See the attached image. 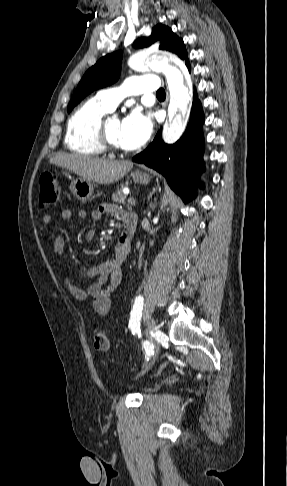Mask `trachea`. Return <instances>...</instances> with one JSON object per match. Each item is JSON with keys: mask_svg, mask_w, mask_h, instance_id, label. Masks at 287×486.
<instances>
[{"mask_svg": "<svg viewBox=\"0 0 287 486\" xmlns=\"http://www.w3.org/2000/svg\"><path fill=\"white\" fill-rule=\"evenodd\" d=\"M156 95L157 96H165V90L163 88L159 89L157 92H156Z\"/></svg>", "mask_w": 287, "mask_h": 486, "instance_id": "1", "label": "trachea"}]
</instances>
